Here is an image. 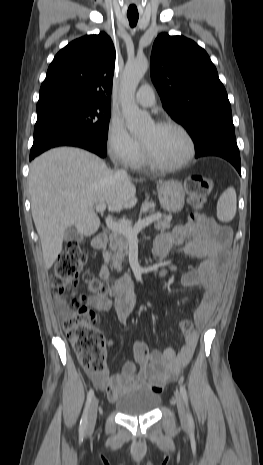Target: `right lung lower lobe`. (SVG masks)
Listing matches in <instances>:
<instances>
[{"label": "right lung lower lobe", "mask_w": 263, "mask_h": 465, "mask_svg": "<svg viewBox=\"0 0 263 465\" xmlns=\"http://www.w3.org/2000/svg\"><path fill=\"white\" fill-rule=\"evenodd\" d=\"M57 146H75L89 150L100 157L106 156V149L78 133L61 132L44 136L34 141L30 152V161L44 151Z\"/></svg>", "instance_id": "obj_1"}]
</instances>
